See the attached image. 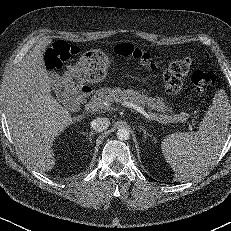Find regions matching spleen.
Here are the masks:
<instances>
[{
	"label": "spleen",
	"instance_id": "1",
	"mask_svg": "<svg viewBox=\"0 0 231 231\" xmlns=\"http://www.w3.org/2000/svg\"><path fill=\"white\" fill-rule=\"evenodd\" d=\"M231 118V106L219 91L195 132H177L161 143L162 153L177 181L206 172L223 148Z\"/></svg>",
	"mask_w": 231,
	"mask_h": 231
}]
</instances>
